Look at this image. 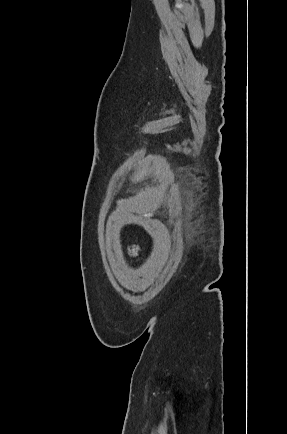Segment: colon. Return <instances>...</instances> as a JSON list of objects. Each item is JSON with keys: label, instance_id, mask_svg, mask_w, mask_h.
<instances>
[{"label": "colon", "instance_id": "5ec220e1", "mask_svg": "<svg viewBox=\"0 0 287 434\" xmlns=\"http://www.w3.org/2000/svg\"><path fill=\"white\" fill-rule=\"evenodd\" d=\"M137 249H138V248L134 246V247L132 248V252H133V253H136V252H137Z\"/></svg>", "mask_w": 287, "mask_h": 434}]
</instances>
